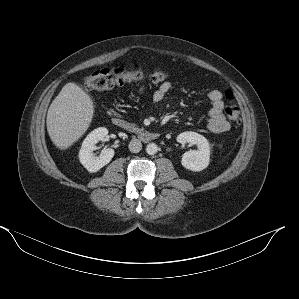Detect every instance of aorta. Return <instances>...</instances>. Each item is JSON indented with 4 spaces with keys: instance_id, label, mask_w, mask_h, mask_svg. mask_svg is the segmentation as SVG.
<instances>
[{
    "instance_id": "aorta-1",
    "label": "aorta",
    "mask_w": 299,
    "mask_h": 299,
    "mask_svg": "<svg viewBox=\"0 0 299 299\" xmlns=\"http://www.w3.org/2000/svg\"><path fill=\"white\" fill-rule=\"evenodd\" d=\"M157 151H158V146L155 143H149L146 146V152L149 155H154L157 153Z\"/></svg>"
}]
</instances>
